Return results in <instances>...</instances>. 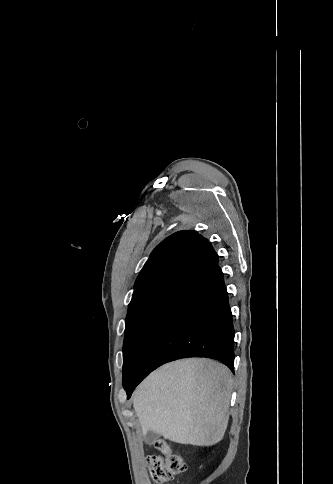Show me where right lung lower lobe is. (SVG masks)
Returning <instances> with one entry per match:
<instances>
[{
	"mask_svg": "<svg viewBox=\"0 0 333 484\" xmlns=\"http://www.w3.org/2000/svg\"><path fill=\"white\" fill-rule=\"evenodd\" d=\"M184 357L222 361L234 372V328L220 267L167 295L152 315L137 349L128 398L158 366Z\"/></svg>",
	"mask_w": 333,
	"mask_h": 484,
	"instance_id": "right-lung-lower-lobe-1",
	"label": "right lung lower lobe"
}]
</instances>
